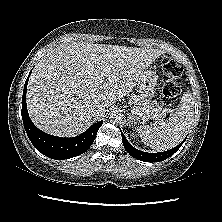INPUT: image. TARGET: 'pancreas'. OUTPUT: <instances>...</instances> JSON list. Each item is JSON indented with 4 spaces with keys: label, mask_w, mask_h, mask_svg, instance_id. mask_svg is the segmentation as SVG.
I'll list each match as a JSON object with an SVG mask.
<instances>
[{
    "label": "pancreas",
    "mask_w": 222,
    "mask_h": 222,
    "mask_svg": "<svg viewBox=\"0 0 222 222\" xmlns=\"http://www.w3.org/2000/svg\"><path fill=\"white\" fill-rule=\"evenodd\" d=\"M131 103L137 111H140L147 118L156 119V117L164 118L166 113L163 107L156 103H149L146 99L132 94L130 97Z\"/></svg>",
    "instance_id": "1"
}]
</instances>
